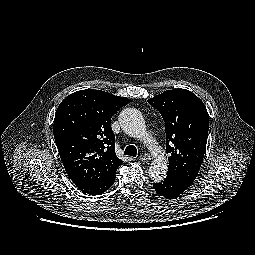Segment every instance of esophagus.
I'll return each mask as SVG.
<instances>
[{
	"label": "esophagus",
	"mask_w": 255,
	"mask_h": 255,
	"mask_svg": "<svg viewBox=\"0 0 255 255\" xmlns=\"http://www.w3.org/2000/svg\"><path fill=\"white\" fill-rule=\"evenodd\" d=\"M140 160L143 162H149L151 160V157L148 154H143L140 156Z\"/></svg>",
	"instance_id": "esophagus-1"
}]
</instances>
